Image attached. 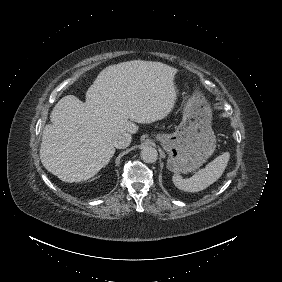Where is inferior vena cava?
<instances>
[{"instance_id": "obj_1", "label": "inferior vena cava", "mask_w": 282, "mask_h": 282, "mask_svg": "<svg viewBox=\"0 0 282 282\" xmlns=\"http://www.w3.org/2000/svg\"><path fill=\"white\" fill-rule=\"evenodd\" d=\"M113 146L117 149H124L131 143V134L123 133L116 135L112 140Z\"/></svg>"}]
</instances>
